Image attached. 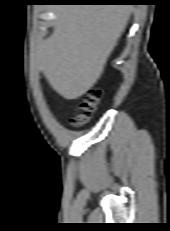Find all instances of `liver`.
<instances>
[{
	"label": "liver",
	"instance_id": "6515ba94",
	"mask_svg": "<svg viewBox=\"0 0 170 231\" xmlns=\"http://www.w3.org/2000/svg\"><path fill=\"white\" fill-rule=\"evenodd\" d=\"M133 10L123 5L53 9V33L37 47L35 60L58 94L77 99L97 82Z\"/></svg>",
	"mask_w": 170,
	"mask_h": 231
}]
</instances>
